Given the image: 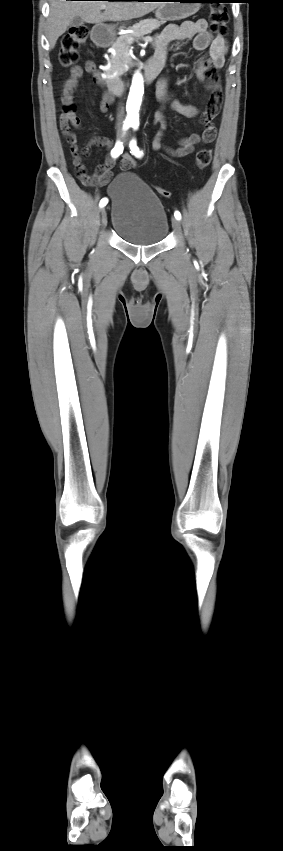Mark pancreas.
<instances>
[{
	"instance_id": "pancreas-1",
	"label": "pancreas",
	"mask_w": 283,
	"mask_h": 851,
	"mask_svg": "<svg viewBox=\"0 0 283 851\" xmlns=\"http://www.w3.org/2000/svg\"><path fill=\"white\" fill-rule=\"evenodd\" d=\"M161 24H163V22L155 19L144 20L133 26V33L121 35L117 38L115 43L112 45L114 54L112 53L110 58H108L110 67L105 70V73L109 75L116 73L118 76H121L125 70L124 65L128 60L127 53L129 47L133 42L130 41V39L150 34L153 30L158 29Z\"/></svg>"
}]
</instances>
